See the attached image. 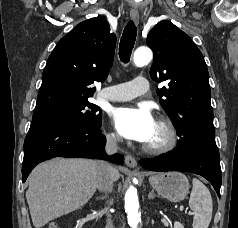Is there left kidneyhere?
<instances>
[{"mask_svg": "<svg viewBox=\"0 0 238 228\" xmlns=\"http://www.w3.org/2000/svg\"><path fill=\"white\" fill-rule=\"evenodd\" d=\"M174 228H184V226L180 222L176 221L174 222Z\"/></svg>", "mask_w": 238, "mask_h": 228, "instance_id": "5707ae66", "label": "left kidney"}]
</instances>
